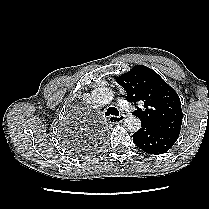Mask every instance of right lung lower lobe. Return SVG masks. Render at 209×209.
Returning a JSON list of instances; mask_svg holds the SVG:
<instances>
[{"mask_svg":"<svg viewBox=\"0 0 209 209\" xmlns=\"http://www.w3.org/2000/svg\"><path fill=\"white\" fill-rule=\"evenodd\" d=\"M101 139L89 143L71 145V150L77 155H87L95 151L101 145Z\"/></svg>","mask_w":209,"mask_h":209,"instance_id":"1","label":"right lung lower lobe"}]
</instances>
